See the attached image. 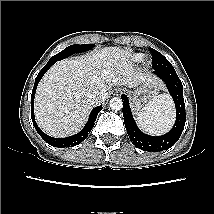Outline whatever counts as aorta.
Segmentation results:
<instances>
[{"label": "aorta", "mask_w": 214, "mask_h": 214, "mask_svg": "<svg viewBox=\"0 0 214 214\" xmlns=\"http://www.w3.org/2000/svg\"><path fill=\"white\" fill-rule=\"evenodd\" d=\"M109 105L113 111H118L123 107V101L119 97H114L110 100Z\"/></svg>", "instance_id": "obj_1"}]
</instances>
